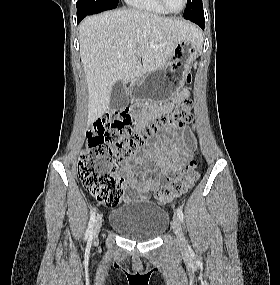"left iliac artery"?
Masks as SVG:
<instances>
[{
    "instance_id": "left-iliac-artery-1",
    "label": "left iliac artery",
    "mask_w": 280,
    "mask_h": 285,
    "mask_svg": "<svg viewBox=\"0 0 280 285\" xmlns=\"http://www.w3.org/2000/svg\"><path fill=\"white\" fill-rule=\"evenodd\" d=\"M177 215H178L180 221L183 222L184 221V216H183V211H182V209L180 207L177 208ZM189 249H190V247H189Z\"/></svg>"
}]
</instances>
